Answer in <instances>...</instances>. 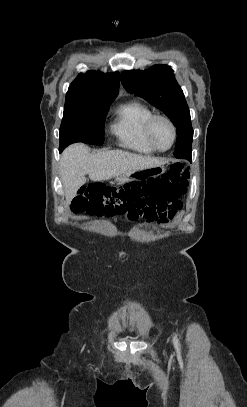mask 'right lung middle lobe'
I'll return each instance as SVG.
<instances>
[{
    "label": "right lung middle lobe",
    "instance_id": "1",
    "mask_svg": "<svg viewBox=\"0 0 247 407\" xmlns=\"http://www.w3.org/2000/svg\"><path fill=\"white\" fill-rule=\"evenodd\" d=\"M112 102L65 104L60 126V152L74 142L102 145L105 117Z\"/></svg>",
    "mask_w": 247,
    "mask_h": 407
}]
</instances>
